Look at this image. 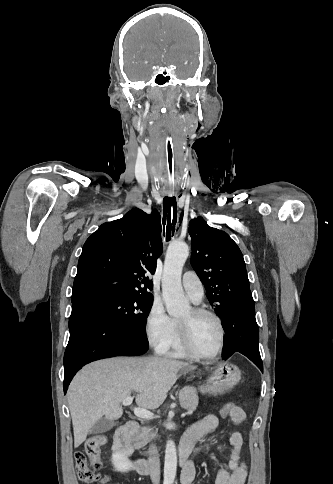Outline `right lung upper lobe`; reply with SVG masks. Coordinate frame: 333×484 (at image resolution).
I'll list each match as a JSON object with an SVG mask.
<instances>
[{
  "instance_id": "1",
  "label": "right lung upper lobe",
  "mask_w": 333,
  "mask_h": 484,
  "mask_svg": "<svg viewBox=\"0 0 333 484\" xmlns=\"http://www.w3.org/2000/svg\"><path fill=\"white\" fill-rule=\"evenodd\" d=\"M158 211L134 208L123 218L102 224L85 242L78 261L71 301L93 292L152 296L157 258L161 255Z\"/></svg>"
}]
</instances>
